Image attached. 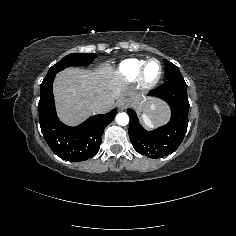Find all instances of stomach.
Wrapping results in <instances>:
<instances>
[{
  "instance_id": "0dacf381",
  "label": "stomach",
  "mask_w": 236,
  "mask_h": 236,
  "mask_svg": "<svg viewBox=\"0 0 236 236\" xmlns=\"http://www.w3.org/2000/svg\"><path fill=\"white\" fill-rule=\"evenodd\" d=\"M128 100V99H127ZM128 102H129V105H132V102L130 101V100H128Z\"/></svg>"
}]
</instances>
